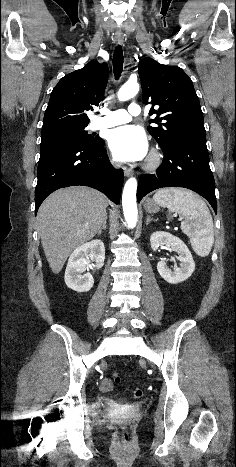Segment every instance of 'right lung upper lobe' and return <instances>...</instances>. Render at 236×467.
Instances as JSON below:
<instances>
[{
  "label": "right lung upper lobe",
  "instance_id": "obj_1",
  "mask_svg": "<svg viewBox=\"0 0 236 467\" xmlns=\"http://www.w3.org/2000/svg\"><path fill=\"white\" fill-rule=\"evenodd\" d=\"M108 75L107 64L93 60L64 76L51 92L42 130L88 125L90 120L86 111L99 105Z\"/></svg>",
  "mask_w": 236,
  "mask_h": 467
}]
</instances>
